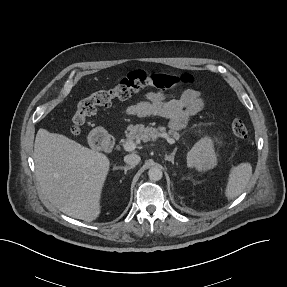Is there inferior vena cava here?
I'll use <instances>...</instances> for the list:
<instances>
[{
  "label": "inferior vena cava",
  "instance_id": "602c4592",
  "mask_svg": "<svg viewBox=\"0 0 287 287\" xmlns=\"http://www.w3.org/2000/svg\"><path fill=\"white\" fill-rule=\"evenodd\" d=\"M141 158L137 154H129L124 157V162L130 166H136L139 164Z\"/></svg>",
  "mask_w": 287,
  "mask_h": 287
}]
</instances>
